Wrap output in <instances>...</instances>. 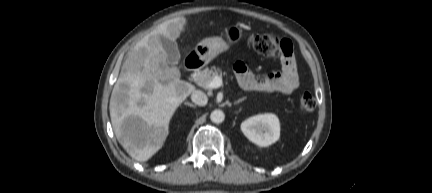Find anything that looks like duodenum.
I'll use <instances>...</instances> for the list:
<instances>
[{
    "instance_id": "1",
    "label": "duodenum",
    "mask_w": 432,
    "mask_h": 193,
    "mask_svg": "<svg viewBox=\"0 0 432 193\" xmlns=\"http://www.w3.org/2000/svg\"><path fill=\"white\" fill-rule=\"evenodd\" d=\"M185 66L192 74L197 73L202 67V60L197 55H192L185 61Z\"/></svg>"
}]
</instances>
